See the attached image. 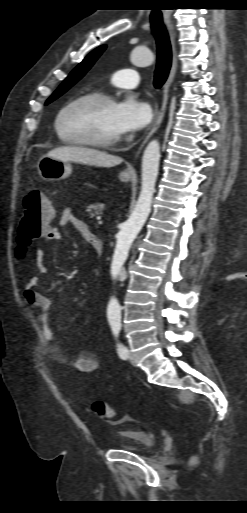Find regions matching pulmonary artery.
Returning <instances> with one entry per match:
<instances>
[{"instance_id":"1","label":"pulmonary artery","mask_w":247,"mask_h":513,"mask_svg":"<svg viewBox=\"0 0 247 513\" xmlns=\"http://www.w3.org/2000/svg\"><path fill=\"white\" fill-rule=\"evenodd\" d=\"M112 83L122 88H135L140 83L139 73L134 69H122L112 75Z\"/></svg>"}]
</instances>
